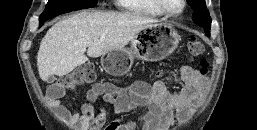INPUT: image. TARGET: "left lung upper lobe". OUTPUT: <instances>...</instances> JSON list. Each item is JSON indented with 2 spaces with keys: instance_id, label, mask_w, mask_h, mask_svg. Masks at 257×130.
<instances>
[{
  "instance_id": "obj_1",
  "label": "left lung upper lobe",
  "mask_w": 257,
  "mask_h": 130,
  "mask_svg": "<svg viewBox=\"0 0 257 130\" xmlns=\"http://www.w3.org/2000/svg\"><path fill=\"white\" fill-rule=\"evenodd\" d=\"M191 8L194 10L192 20L203 27L207 36L210 34L211 17L206 8L205 0H189Z\"/></svg>"
}]
</instances>
